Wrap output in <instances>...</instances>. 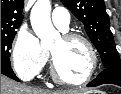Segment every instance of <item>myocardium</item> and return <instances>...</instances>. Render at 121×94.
Here are the masks:
<instances>
[{
  "instance_id": "f54148a6",
  "label": "myocardium",
  "mask_w": 121,
  "mask_h": 94,
  "mask_svg": "<svg viewBox=\"0 0 121 94\" xmlns=\"http://www.w3.org/2000/svg\"><path fill=\"white\" fill-rule=\"evenodd\" d=\"M62 39L64 41H73V40L82 41L87 47V50L89 53L90 67H89L87 75L83 79L78 80V81L67 80L63 78L61 74L59 73L56 58L54 54L51 52V75H52L53 80L57 82L58 84L69 86V87L80 86V85L86 84L92 79L98 67V56H97V53L95 51L93 44L87 37L79 33H66L62 36Z\"/></svg>"
}]
</instances>
